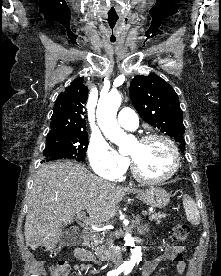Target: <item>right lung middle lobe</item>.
I'll return each mask as SVG.
<instances>
[{"instance_id":"dd1d6c3e","label":"right lung middle lobe","mask_w":221,"mask_h":276,"mask_svg":"<svg viewBox=\"0 0 221 276\" xmlns=\"http://www.w3.org/2000/svg\"><path fill=\"white\" fill-rule=\"evenodd\" d=\"M88 146L87 133L65 136H47L44 149V161L74 159L83 161Z\"/></svg>"}]
</instances>
